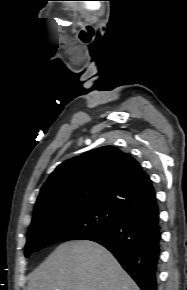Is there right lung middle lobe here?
<instances>
[{"label": "right lung middle lobe", "mask_w": 187, "mask_h": 290, "mask_svg": "<svg viewBox=\"0 0 187 290\" xmlns=\"http://www.w3.org/2000/svg\"><path fill=\"white\" fill-rule=\"evenodd\" d=\"M124 218L117 210L103 205L84 206L46 215L31 223L25 256L61 241L85 239L118 225Z\"/></svg>", "instance_id": "dd1d6c3e"}]
</instances>
